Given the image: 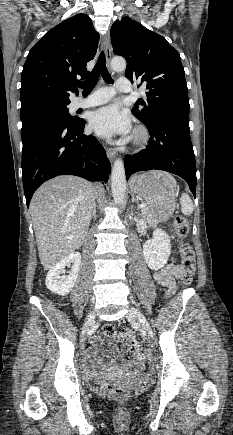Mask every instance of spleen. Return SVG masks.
Instances as JSON below:
<instances>
[{"instance_id": "3e777b00", "label": "spleen", "mask_w": 233, "mask_h": 435, "mask_svg": "<svg viewBox=\"0 0 233 435\" xmlns=\"http://www.w3.org/2000/svg\"><path fill=\"white\" fill-rule=\"evenodd\" d=\"M180 204H181V212L184 215H191L193 213V202L188 194L183 193L180 198Z\"/></svg>"}]
</instances>
